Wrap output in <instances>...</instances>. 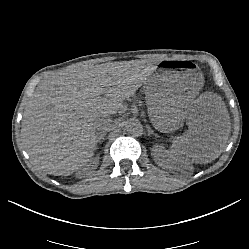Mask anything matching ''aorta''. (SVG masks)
Segmentation results:
<instances>
[{"mask_svg":"<svg viewBox=\"0 0 249 249\" xmlns=\"http://www.w3.org/2000/svg\"><path fill=\"white\" fill-rule=\"evenodd\" d=\"M125 128L130 134L138 135L142 131V125L136 118H130L125 123Z\"/></svg>","mask_w":249,"mask_h":249,"instance_id":"aorta-1","label":"aorta"}]
</instances>
